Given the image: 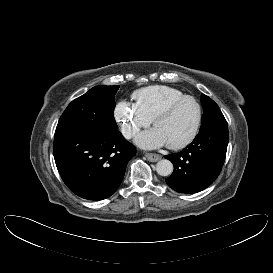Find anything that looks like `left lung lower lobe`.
I'll return each instance as SVG.
<instances>
[{
    "label": "left lung lower lobe",
    "instance_id": "left-lung-lower-lobe-1",
    "mask_svg": "<svg viewBox=\"0 0 273 273\" xmlns=\"http://www.w3.org/2000/svg\"><path fill=\"white\" fill-rule=\"evenodd\" d=\"M228 141V127L204 130L181 152L165 156L174 165L173 173L166 178L168 186L179 193L207 188L222 169Z\"/></svg>",
    "mask_w": 273,
    "mask_h": 273
}]
</instances>
